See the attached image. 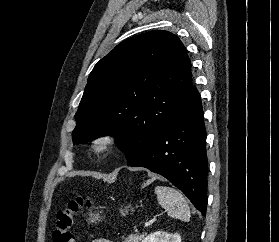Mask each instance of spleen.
<instances>
[{
    "label": "spleen",
    "instance_id": "obj_1",
    "mask_svg": "<svg viewBox=\"0 0 279 242\" xmlns=\"http://www.w3.org/2000/svg\"><path fill=\"white\" fill-rule=\"evenodd\" d=\"M155 194L158 203L166 209L169 216L182 221L190 220L189 206L180 191L171 187L156 186Z\"/></svg>",
    "mask_w": 279,
    "mask_h": 242
}]
</instances>
